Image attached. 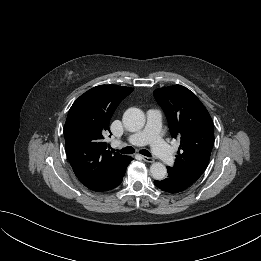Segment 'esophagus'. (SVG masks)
I'll return each mask as SVG.
<instances>
[{
    "label": "esophagus",
    "instance_id": "34e87169",
    "mask_svg": "<svg viewBox=\"0 0 261 261\" xmlns=\"http://www.w3.org/2000/svg\"><path fill=\"white\" fill-rule=\"evenodd\" d=\"M142 159H143L145 162H148V163H153V162H154V159L151 158V157L142 156Z\"/></svg>",
    "mask_w": 261,
    "mask_h": 261
}]
</instances>
